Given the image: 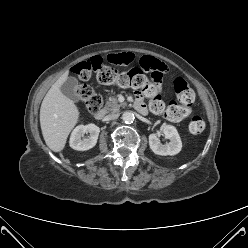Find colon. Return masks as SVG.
<instances>
[{
	"instance_id": "colon-1",
	"label": "colon",
	"mask_w": 248,
	"mask_h": 248,
	"mask_svg": "<svg viewBox=\"0 0 248 248\" xmlns=\"http://www.w3.org/2000/svg\"><path fill=\"white\" fill-rule=\"evenodd\" d=\"M101 58H94L84 62L75 68V73L82 81L76 88V95L85 103L90 113L100 110L103 100L88 81L91 76V69H98L97 80L104 85H117L122 88H134L143 91L144 95L149 98L150 109L157 114H163L172 121L181 119L187 110L195 101V93L186 80L177 77L173 81V87L177 96L178 104L168 106L161 100L158 93V85L161 78L153 75V81L147 75L138 69L127 72H118L111 66H102ZM205 129V122L199 116H194L189 122V130L192 134H200Z\"/></svg>"
}]
</instances>
